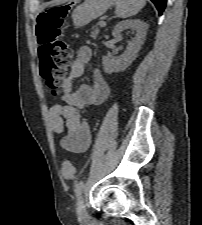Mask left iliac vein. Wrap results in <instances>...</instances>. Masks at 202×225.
Listing matches in <instances>:
<instances>
[{"label":"left iliac vein","mask_w":202,"mask_h":225,"mask_svg":"<svg viewBox=\"0 0 202 225\" xmlns=\"http://www.w3.org/2000/svg\"><path fill=\"white\" fill-rule=\"evenodd\" d=\"M77 214L80 221H84L87 217L84 198L81 196L77 202Z\"/></svg>","instance_id":"1"}]
</instances>
